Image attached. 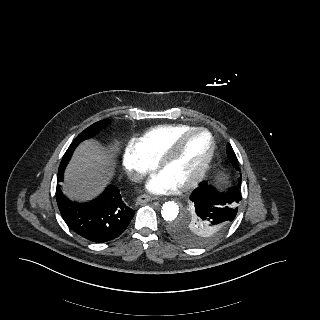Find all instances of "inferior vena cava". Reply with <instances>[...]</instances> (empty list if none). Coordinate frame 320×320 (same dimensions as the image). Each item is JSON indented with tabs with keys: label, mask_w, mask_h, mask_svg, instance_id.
<instances>
[{
	"label": "inferior vena cava",
	"mask_w": 320,
	"mask_h": 320,
	"mask_svg": "<svg viewBox=\"0 0 320 320\" xmlns=\"http://www.w3.org/2000/svg\"><path fill=\"white\" fill-rule=\"evenodd\" d=\"M128 177L131 181L139 182L143 179V174L138 173V172H130L128 174Z\"/></svg>",
	"instance_id": "inferior-vena-cava-1"
}]
</instances>
